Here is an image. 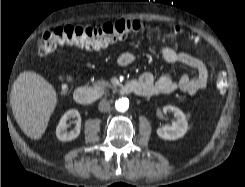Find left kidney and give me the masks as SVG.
<instances>
[{
  "label": "left kidney",
  "instance_id": "obj_1",
  "mask_svg": "<svg viewBox=\"0 0 245 187\" xmlns=\"http://www.w3.org/2000/svg\"><path fill=\"white\" fill-rule=\"evenodd\" d=\"M164 113H172L176 119L170 126L157 129V135L164 140H177L183 137L188 129V123L184 113L177 107L167 105L163 107Z\"/></svg>",
  "mask_w": 245,
  "mask_h": 187
}]
</instances>
